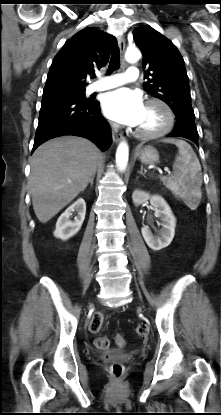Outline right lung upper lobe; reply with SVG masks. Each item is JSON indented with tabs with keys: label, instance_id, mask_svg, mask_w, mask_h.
<instances>
[{
	"label": "right lung upper lobe",
	"instance_id": "1",
	"mask_svg": "<svg viewBox=\"0 0 221 415\" xmlns=\"http://www.w3.org/2000/svg\"><path fill=\"white\" fill-rule=\"evenodd\" d=\"M117 40L95 28H84L67 40L51 64L43 96L83 89L88 74L105 66Z\"/></svg>",
	"mask_w": 221,
	"mask_h": 415
}]
</instances>
